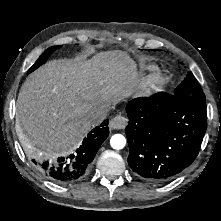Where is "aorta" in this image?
<instances>
[{
	"label": "aorta",
	"mask_w": 221,
	"mask_h": 221,
	"mask_svg": "<svg viewBox=\"0 0 221 221\" xmlns=\"http://www.w3.org/2000/svg\"><path fill=\"white\" fill-rule=\"evenodd\" d=\"M110 145L113 149L120 150L126 145V139L121 134H115L110 139Z\"/></svg>",
	"instance_id": "762f6f07"
}]
</instances>
